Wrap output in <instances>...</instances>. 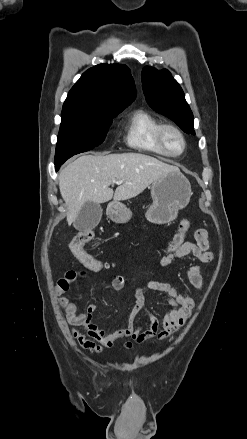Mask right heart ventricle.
<instances>
[{"instance_id": "obj_1", "label": "right heart ventricle", "mask_w": 247, "mask_h": 439, "mask_svg": "<svg viewBox=\"0 0 247 439\" xmlns=\"http://www.w3.org/2000/svg\"><path fill=\"white\" fill-rule=\"evenodd\" d=\"M160 121L145 109L133 111L125 125L124 141L136 150L166 155L156 141V131Z\"/></svg>"}]
</instances>
